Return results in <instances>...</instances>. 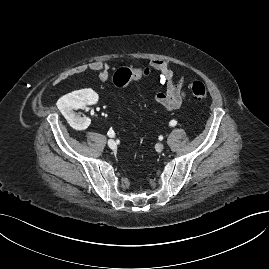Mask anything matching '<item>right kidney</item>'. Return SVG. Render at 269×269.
<instances>
[{
  "instance_id": "right-kidney-1",
  "label": "right kidney",
  "mask_w": 269,
  "mask_h": 269,
  "mask_svg": "<svg viewBox=\"0 0 269 269\" xmlns=\"http://www.w3.org/2000/svg\"><path fill=\"white\" fill-rule=\"evenodd\" d=\"M98 100V94L92 89L76 90L61 97L57 102V107L68 123L76 124L85 129L90 125L91 120L86 117H79L73 109H80L86 105L95 104Z\"/></svg>"
}]
</instances>
